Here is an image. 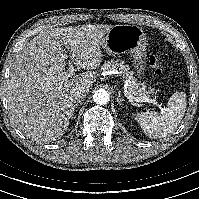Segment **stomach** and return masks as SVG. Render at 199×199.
I'll return each instance as SVG.
<instances>
[{
  "instance_id": "stomach-1",
  "label": "stomach",
  "mask_w": 199,
  "mask_h": 199,
  "mask_svg": "<svg viewBox=\"0 0 199 199\" xmlns=\"http://www.w3.org/2000/svg\"><path fill=\"white\" fill-rule=\"evenodd\" d=\"M146 45V36L137 25H115L101 39V46L111 54H132L138 73L144 69Z\"/></svg>"
}]
</instances>
